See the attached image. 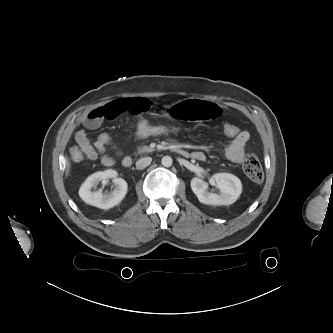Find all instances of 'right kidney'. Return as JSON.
<instances>
[{
  "instance_id": "obj_1",
  "label": "right kidney",
  "mask_w": 333,
  "mask_h": 333,
  "mask_svg": "<svg viewBox=\"0 0 333 333\" xmlns=\"http://www.w3.org/2000/svg\"><path fill=\"white\" fill-rule=\"evenodd\" d=\"M113 178L115 189L111 193H102L91 191L99 182ZM127 183L124 179L117 177L114 170L99 171L89 176L79 189L80 198L87 204L96 206L101 209H110L119 204L127 193Z\"/></svg>"
}]
</instances>
